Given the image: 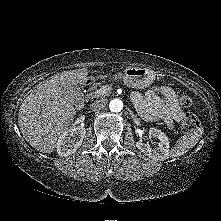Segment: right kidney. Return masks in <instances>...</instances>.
Listing matches in <instances>:
<instances>
[{"mask_svg":"<svg viewBox=\"0 0 221 221\" xmlns=\"http://www.w3.org/2000/svg\"><path fill=\"white\" fill-rule=\"evenodd\" d=\"M86 130L82 127H72L64 131L57 142V153L61 157H68L81 146Z\"/></svg>","mask_w":221,"mask_h":221,"instance_id":"ca27d5eb","label":"right kidney"}]
</instances>
